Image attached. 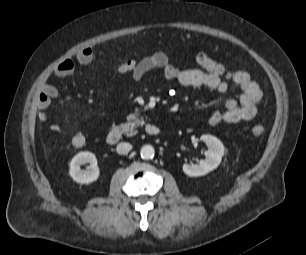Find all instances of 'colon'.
Wrapping results in <instances>:
<instances>
[{"label":"colon","mask_w":306,"mask_h":255,"mask_svg":"<svg viewBox=\"0 0 306 255\" xmlns=\"http://www.w3.org/2000/svg\"><path fill=\"white\" fill-rule=\"evenodd\" d=\"M129 67H130V64H128L127 61H124L120 65V70L123 72H127ZM264 132H265V129L261 124L254 125L251 129V133L255 138H259L263 136ZM85 143H86V138L82 133L75 134L71 140L72 146L76 149L82 148L85 145Z\"/></svg>","instance_id":"5ec220e1"}]
</instances>
